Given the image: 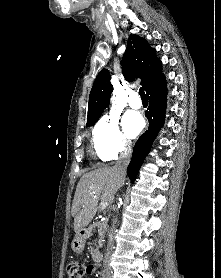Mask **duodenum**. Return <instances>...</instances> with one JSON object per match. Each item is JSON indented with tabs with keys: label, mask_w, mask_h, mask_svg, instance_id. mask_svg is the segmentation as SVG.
Returning a JSON list of instances; mask_svg holds the SVG:
<instances>
[{
	"label": "duodenum",
	"mask_w": 221,
	"mask_h": 278,
	"mask_svg": "<svg viewBox=\"0 0 221 278\" xmlns=\"http://www.w3.org/2000/svg\"><path fill=\"white\" fill-rule=\"evenodd\" d=\"M92 258H93V260L95 262V267H98L100 262H101V260H102V255H101V253L97 249H94L92 251Z\"/></svg>",
	"instance_id": "obj_1"
}]
</instances>
